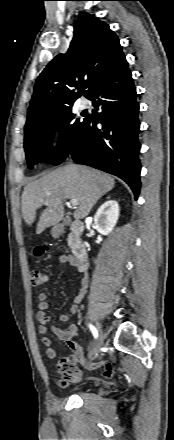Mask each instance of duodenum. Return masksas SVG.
<instances>
[{
	"label": "duodenum",
	"mask_w": 174,
	"mask_h": 440,
	"mask_svg": "<svg viewBox=\"0 0 174 440\" xmlns=\"http://www.w3.org/2000/svg\"><path fill=\"white\" fill-rule=\"evenodd\" d=\"M71 232V252L77 262V267L80 271L86 270L85 258L86 247L82 241V233L84 231V223L81 221H75L70 225ZM59 233L63 232V229L58 230Z\"/></svg>",
	"instance_id": "obj_1"
}]
</instances>
